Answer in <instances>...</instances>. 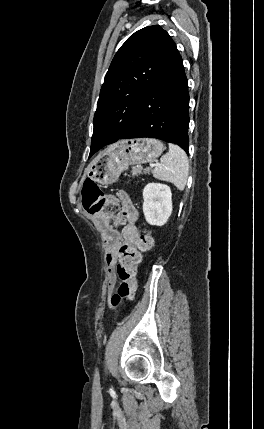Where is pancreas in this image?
Segmentation results:
<instances>
[{"label":"pancreas","instance_id":"pancreas-1","mask_svg":"<svg viewBox=\"0 0 264 429\" xmlns=\"http://www.w3.org/2000/svg\"><path fill=\"white\" fill-rule=\"evenodd\" d=\"M146 174V173H150V169H145L144 171H142V168L140 167V166H135V167H132V170H131V175L132 176H138V175H140V174Z\"/></svg>","mask_w":264,"mask_h":429}]
</instances>
